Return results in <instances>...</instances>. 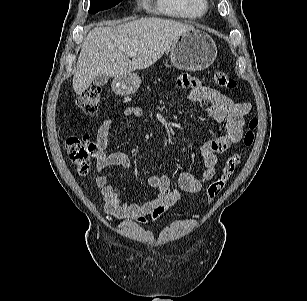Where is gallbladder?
Instances as JSON below:
<instances>
[{
	"label": "gallbladder",
	"mask_w": 307,
	"mask_h": 301,
	"mask_svg": "<svg viewBox=\"0 0 307 301\" xmlns=\"http://www.w3.org/2000/svg\"><path fill=\"white\" fill-rule=\"evenodd\" d=\"M109 80V76L105 74H100L97 77H95L93 84L97 87H102L104 86Z\"/></svg>",
	"instance_id": "gallbladder-1"
}]
</instances>
